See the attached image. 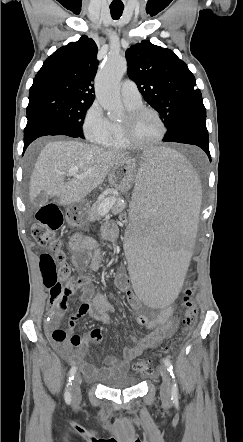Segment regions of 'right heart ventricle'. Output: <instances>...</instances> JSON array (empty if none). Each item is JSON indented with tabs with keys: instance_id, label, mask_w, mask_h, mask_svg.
Instances as JSON below:
<instances>
[{
	"instance_id": "1",
	"label": "right heart ventricle",
	"mask_w": 243,
	"mask_h": 442,
	"mask_svg": "<svg viewBox=\"0 0 243 442\" xmlns=\"http://www.w3.org/2000/svg\"><path fill=\"white\" fill-rule=\"evenodd\" d=\"M125 105L128 110L134 109L140 104H129L125 102ZM98 144L114 148V149H126L129 146L126 145L124 142L122 135H121V121H109V130L108 132L97 141Z\"/></svg>"
}]
</instances>
